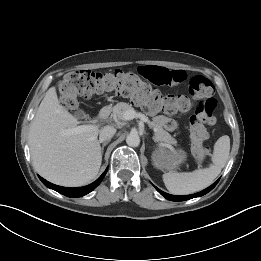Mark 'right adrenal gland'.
Returning <instances> with one entry per match:
<instances>
[{
    "label": "right adrenal gland",
    "mask_w": 261,
    "mask_h": 261,
    "mask_svg": "<svg viewBox=\"0 0 261 261\" xmlns=\"http://www.w3.org/2000/svg\"><path fill=\"white\" fill-rule=\"evenodd\" d=\"M108 143H109V141L103 142L102 147H101V152H102V154H103V152H104V147H105Z\"/></svg>",
    "instance_id": "2a0ac1e0"
}]
</instances>
